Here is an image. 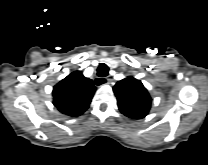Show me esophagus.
Segmentation results:
<instances>
[{
	"instance_id": "obj_1",
	"label": "esophagus",
	"mask_w": 208,
	"mask_h": 165,
	"mask_svg": "<svg viewBox=\"0 0 208 165\" xmlns=\"http://www.w3.org/2000/svg\"><path fill=\"white\" fill-rule=\"evenodd\" d=\"M104 81H105V84H108L109 82H110V79L108 78V77H106L105 79H104ZM96 82H97V80H96ZM98 82L101 84L102 82H101V80H98ZM99 84V85H100Z\"/></svg>"
}]
</instances>
